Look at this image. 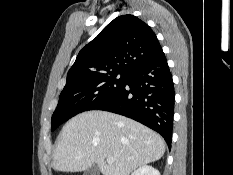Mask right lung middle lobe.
<instances>
[{
    "mask_svg": "<svg viewBox=\"0 0 233 175\" xmlns=\"http://www.w3.org/2000/svg\"><path fill=\"white\" fill-rule=\"evenodd\" d=\"M127 78L126 73L109 72L67 82L52 115L51 131L78 113L97 109L110 101L125 86Z\"/></svg>",
    "mask_w": 233,
    "mask_h": 175,
    "instance_id": "obj_1",
    "label": "right lung middle lobe"
}]
</instances>
